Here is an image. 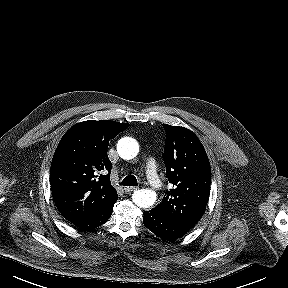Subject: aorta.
Instances as JSON below:
<instances>
[{
	"mask_svg": "<svg viewBox=\"0 0 288 288\" xmlns=\"http://www.w3.org/2000/svg\"><path fill=\"white\" fill-rule=\"evenodd\" d=\"M117 151L121 158L130 160L137 156L139 145L135 139L124 137L119 140ZM156 199V193L150 189L136 190L132 195L133 202L140 208L151 207L156 202Z\"/></svg>",
	"mask_w": 288,
	"mask_h": 288,
	"instance_id": "aorta-1",
	"label": "aorta"
}]
</instances>
